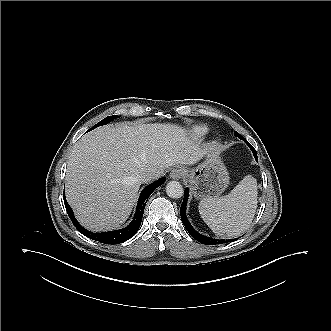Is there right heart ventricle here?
Returning <instances> with one entry per match:
<instances>
[{
    "label": "right heart ventricle",
    "instance_id": "e07e8e85",
    "mask_svg": "<svg viewBox=\"0 0 331 331\" xmlns=\"http://www.w3.org/2000/svg\"><path fill=\"white\" fill-rule=\"evenodd\" d=\"M208 128L204 125H194L190 129L191 136L195 139H202L208 134Z\"/></svg>",
    "mask_w": 331,
    "mask_h": 331
}]
</instances>
